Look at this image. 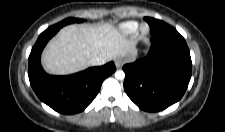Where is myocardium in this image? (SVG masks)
<instances>
[{"label": "myocardium", "instance_id": "obj_1", "mask_svg": "<svg viewBox=\"0 0 225 132\" xmlns=\"http://www.w3.org/2000/svg\"><path fill=\"white\" fill-rule=\"evenodd\" d=\"M149 33V28L147 25H142L140 26L138 29H137V35L140 37V38H143L145 36H147Z\"/></svg>", "mask_w": 225, "mask_h": 132}]
</instances>
